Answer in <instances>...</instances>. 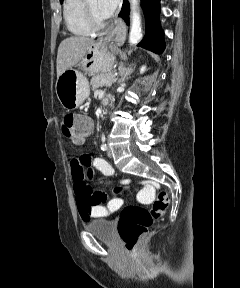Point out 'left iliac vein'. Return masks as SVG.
I'll return each instance as SVG.
<instances>
[{
	"instance_id": "left-iliac-vein-1",
	"label": "left iliac vein",
	"mask_w": 240,
	"mask_h": 288,
	"mask_svg": "<svg viewBox=\"0 0 240 288\" xmlns=\"http://www.w3.org/2000/svg\"><path fill=\"white\" fill-rule=\"evenodd\" d=\"M107 156L109 158H112V156H113L112 150L110 148L107 149Z\"/></svg>"
}]
</instances>
